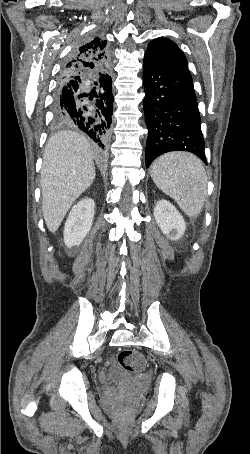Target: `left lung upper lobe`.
Wrapping results in <instances>:
<instances>
[{
  "mask_svg": "<svg viewBox=\"0 0 250 454\" xmlns=\"http://www.w3.org/2000/svg\"><path fill=\"white\" fill-rule=\"evenodd\" d=\"M145 55L165 64L187 67V60L182 50L178 48L175 42L167 38L151 41Z\"/></svg>",
  "mask_w": 250,
  "mask_h": 454,
  "instance_id": "1",
  "label": "left lung upper lobe"
}]
</instances>
